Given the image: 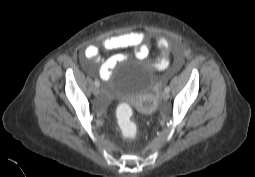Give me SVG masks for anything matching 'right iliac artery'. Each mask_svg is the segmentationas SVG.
<instances>
[{"instance_id":"1","label":"right iliac artery","mask_w":255,"mask_h":177,"mask_svg":"<svg viewBox=\"0 0 255 177\" xmlns=\"http://www.w3.org/2000/svg\"><path fill=\"white\" fill-rule=\"evenodd\" d=\"M94 84H95L96 87H99V85H100V83H99L98 80H95V81H94Z\"/></svg>"}]
</instances>
